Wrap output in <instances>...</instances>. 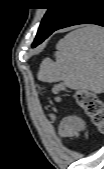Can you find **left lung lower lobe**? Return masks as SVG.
Here are the masks:
<instances>
[{
	"instance_id": "0a47b994",
	"label": "left lung lower lobe",
	"mask_w": 104,
	"mask_h": 169,
	"mask_svg": "<svg viewBox=\"0 0 104 169\" xmlns=\"http://www.w3.org/2000/svg\"><path fill=\"white\" fill-rule=\"evenodd\" d=\"M88 23L104 27L103 0H77L73 9L53 31L44 34L42 30H38L32 47L34 48L42 43L49 35L58 29Z\"/></svg>"
}]
</instances>
